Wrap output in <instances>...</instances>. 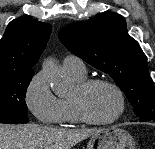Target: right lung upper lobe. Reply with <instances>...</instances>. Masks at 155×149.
<instances>
[{
  "instance_id": "1",
  "label": "right lung upper lobe",
  "mask_w": 155,
  "mask_h": 149,
  "mask_svg": "<svg viewBox=\"0 0 155 149\" xmlns=\"http://www.w3.org/2000/svg\"><path fill=\"white\" fill-rule=\"evenodd\" d=\"M52 27L31 17L11 21L0 40V76L34 71Z\"/></svg>"
}]
</instances>
